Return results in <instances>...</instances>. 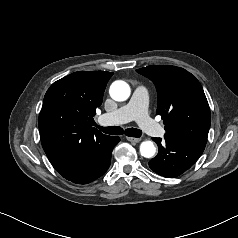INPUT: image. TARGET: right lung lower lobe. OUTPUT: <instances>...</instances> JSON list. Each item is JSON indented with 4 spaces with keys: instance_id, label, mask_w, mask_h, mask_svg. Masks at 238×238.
I'll list each match as a JSON object with an SVG mask.
<instances>
[{
    "instance_id": "1",
    "label": "right lung lower lobe",
    "mask_w": 238,
    "mask_h": 238,
    "mask_svg": "<svg viewBox=\"0 0 238 238\" xmlns=\"http://www.w3.org/2000/svg\"><path fill=\"white\" fill-rule=\"evenodd\" d=\"M119 141V137L107 135L95 142L76 162L56 170L73 183H90L107 171L111 163L112 150Z\"/></svg>"
}]
</instances>
